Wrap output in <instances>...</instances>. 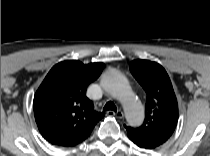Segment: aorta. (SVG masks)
I'll return each mask as SVG.
<instances>
[{"instance_id": "aorta-1", "label": "aorta", "mask_w": 210, "mask_h": 156, "mask_svg": "<svg viewBox=\"0 0 210 156\" xmlns=\"http://www.w3.org/2000/svg\"><path fill=\"white\" fill-rule=\"evenodd\" d=\"M105 85L107 90L122 102L127 120L134 125L140 124L144 119V107L128 81L122 75L113 72L107 76Z\"/></svg>"}]
</instances>
